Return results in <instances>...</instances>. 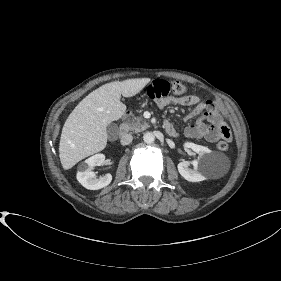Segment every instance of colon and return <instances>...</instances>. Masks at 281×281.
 Instances as JSON below:
<instances>
[{
	"instance_id": "obj_1",
	"label": "colon",
	"mask_w": 281,
	"mask_h": 281,
	"mask_svg": "<svg viewBox=\"0 0 281 281\" xmlns=\"http://www.w3.org/2000/svg\"><path fill=\"white\" fill-rule=\"evenodd\" d=\"M185 91V86L179 81L156 80L150 85L148 93L151 98L160 99L174 98L183 94ZM230 140L231 134L228 130H225L223 140L217 144L218 149L227 150Z\"/></svg>"
}]
</instances>
